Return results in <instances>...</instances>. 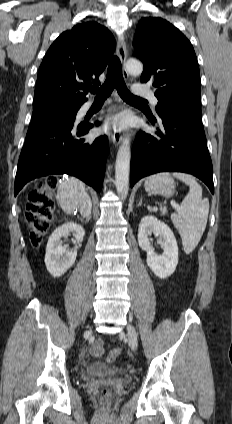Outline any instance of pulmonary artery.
Masks as SVG:
<instances>
[{
  "instance_id": "pulmonary-artery-1",
  "label": "pulmonary artery",
  "mask_w": 232,
  "mask_h": 424,
  "mask_svg": "<svg viewBox=\"0 0 232 424\" xmlns=\"http://www.w3.org/2000/svg\"><path fill=\"white\" fill-rule=\"evenodd\" d=\"M133 92L136 95L148 97L150 99V101L152 102L154 107L158 104L157 97L154 95V93L149 88H147L143 84H135L133 86ZM91 105H92V102H87L84 105V109L89 108Z\"/></svg>"
}]
</instances>
